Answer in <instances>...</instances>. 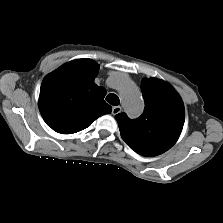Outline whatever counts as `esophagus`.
I'll use <instances>...</instances> for the list:
<instances>
[{
  "mask_svg": "<svg viewBox=\"0 0 223 223\" xmlns=\"http://www.w3.org/2000/svg\"><path fill=\"white\" fill-rule=\"evenodd\" d=\"M121 107L120 106H114L113 108H112V114L113 115H117V114H119L120 112H121Z\"/></svg>",
  "mask_w": 223,
  "mask_h": 223,
  "instance_id": "esophagus-1",
  "label": "esophagus"
}]
</instances>
